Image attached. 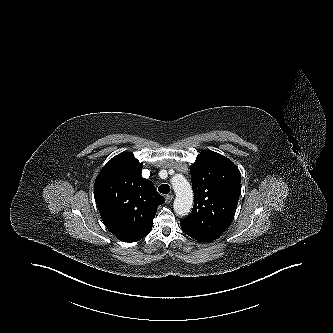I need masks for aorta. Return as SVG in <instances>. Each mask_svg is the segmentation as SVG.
<instances>
[{
	"label": "aorta",
	"instance_id": "1",
	"mask_svg": "<svg viewBox=\"0 0 333 333\" xmlns=\"http://www.w3.org/2000/svg\"><path fill=\"white\" fill-rule=\"evenodd\" d=\"M172 186L176 193L173 203L174 211L179 216H186L193 205V191L190 183L182 175L172 179Z\"/></svg>",
	"mask_w": 333,
	"mask_h": 333
}]
</instances>
